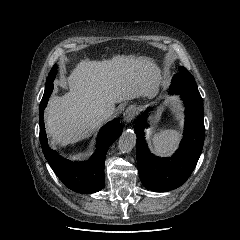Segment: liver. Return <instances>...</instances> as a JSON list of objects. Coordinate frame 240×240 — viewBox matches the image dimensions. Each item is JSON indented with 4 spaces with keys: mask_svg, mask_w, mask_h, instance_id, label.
I'll list each match as a JSON object with an SVG mask.
<instances>
[{
    "mask_svg": "<svg viewBox=\"0 0 240 240\" xmlns=\"http://www.w3.org/2000/svg\"><path fill=\"white\" fill-rule=\"evenodd\" d=\"M160 78L158 66L148 58L81 61L67 78L69 91L48 102L45 120L52 142L66 146L91 136L101 123L94 116L97 106L114 112L116 103L140 96L152 98Z\"/></svg>",
    "mask_w": 240,
    "mask_h": 240,
    "instance_id": "obj_1",
    "label": "liver"
}]
</instances>
